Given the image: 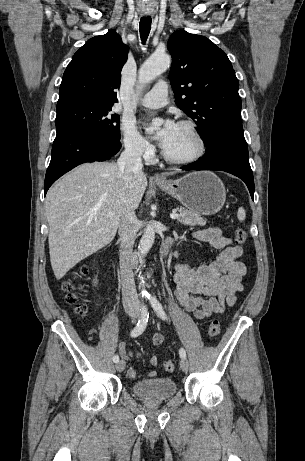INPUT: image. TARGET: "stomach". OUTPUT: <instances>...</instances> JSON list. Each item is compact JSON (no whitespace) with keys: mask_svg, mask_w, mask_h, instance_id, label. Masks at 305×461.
<instances>
[{"mask_svg":"<svg viewBox=\"0 0 305 461\" xmlns=\"http://www.w3.org/2000/svg\"><path fill=\"white\" fill-rule=\"evenodd\" d=\"M156 184L189 211L199 215L219 212L226 200L224 184L210 171H196L176 180Z\"/></svg>","mask_w":305,"mask_h":461,"instance_id":"obj_1","label":"stomach"}]
</instances>
